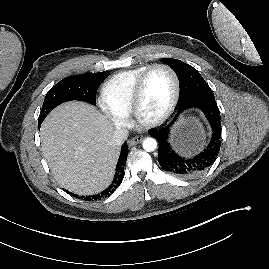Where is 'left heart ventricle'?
I'll return each instance as SVG.
<instances>
[{"mask_svg":"<svg viewBox=\"0 0 269 269\" xmlns=\"http://www.w3.org/2000/svg\"><path fill=\"white\" fill-rule=\"evenodd\" d=\"M174 93L171 74L165 69H155L147 77L142 97L141 113L152 119L162 114L168 107Z\"/></svg>","mask_w":269,"mask_h":269,"instance_id":"obj_1","label":"left heart ventricle"}]
</instances>
